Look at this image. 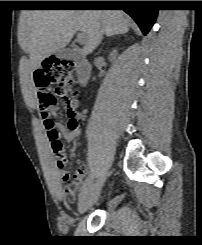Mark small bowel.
<instances>
[{"label": "small bowel", "instance_id": "small-bowel-1", "mask_svg": "<svg viewBox=\"0 0 202 245\" xmlns=\"http://www.w3.org/2000/svg\"><path fill=\"white\" fill-rule=\"evenodd\" d=\"M52 112L54 115L57 114L58 112V107L53 104ZM47 134L55 130L59 137L63 135V137L67 140L73 139L75 136L78 134V126L74 125L72 128L65 129L62 125V123L56 121L53 122L51 127H47ZM48 141L52 147V151L54 153V158H55V173L57 174V177L61 183H67L70 178H72V181L69 185L65 186L64 191L68 197H72L78 186L81 184L82 180L87 176L88 174V167L86 165L82 166L79 168L73 175L70 174L69 172L65 171L64 168L68 164V159L67 155L64 151L62 150H56L52 146V141L51 139L47 136Z\"/></svg>", "mask_w": 202, "mask_h": 245}]
</instances>
